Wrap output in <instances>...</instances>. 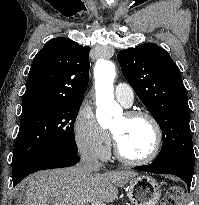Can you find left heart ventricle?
Returning <instances> with one entry per match:
<instances>
[{
  "label": "left heart ventricle",
  "instance_id": "left-heart-ventricle-1",
  "mask_svg": "<svg viewBox=\"0 0 199 205\" xmlns=\"http://www.w3.org/2000/svg\"><path fill=\"white\" fill-rule=\"evenodd\" d=\"M111 129L122 152L131 158L149 154L154 142L150 123L144 118H127L124 114L114 119Z\"/></svg>",
  "mask_w": 199,
  "mask_h": 205
}]
</instances>
